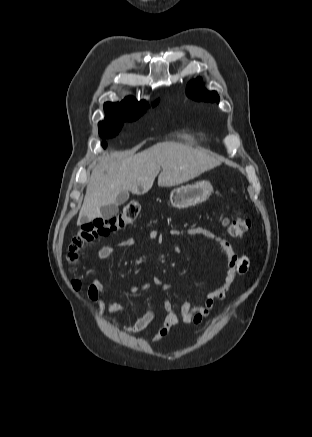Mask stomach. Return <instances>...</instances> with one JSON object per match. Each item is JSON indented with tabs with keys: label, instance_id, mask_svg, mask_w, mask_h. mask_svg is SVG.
Masks as SVG:
<instances>
[{
	"label": "stomach",
	"instance_id": "0dacf381",
	"mask_svg": "<svg viewBox=\"0 0 312 437\" xmlns=\"http://www.w3.org/2000/svg\"><path fill=\"white\" fill-rule=\"evenodd\" d=\"M213 191L209 181H200L174 188L170 193V203L173 208L186 209L206 201Z\"/></svg>",
	"mask_w": 312,
	"mask_h": 437
}]
</instances>
